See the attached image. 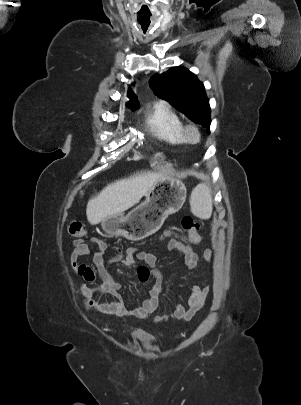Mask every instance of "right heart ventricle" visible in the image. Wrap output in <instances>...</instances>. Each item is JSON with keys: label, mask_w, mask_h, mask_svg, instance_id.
I'll return each mask as SVG.
<instances>
[{"label": "right heart ventricle", "mask_w": 301, "mask_h": 405, "mask_svg": "<svg viewBox=\"0 0 301 405\" xmlns=\"http://www.w3.org/2000/svg\"><path fill=\"white\" fill-rule=\"evenodd\" d=\"M144 124L153 136L166 143L181 145L187 142L183 121L166 105L157 104L148 111Z\"/></svg>", "instance_id": "obj_1"}]
</instances>
